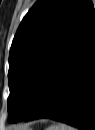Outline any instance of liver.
Here are the masks:
<instances>
[{"instance_id": "1", "label": "liver", "mask_w": 95, "mask_h": 130, "mask_svg": "<svg viewBox=\"0 0 95 130\" xmlns=\"http://www.w3.org/2000/svg\"><path fill=\"white\" fill-rule=\"evenodd\" d=\"M17 128H19L17 130H26V129H28V127H26V126H21V127H17Z\"/></svg>"}]
</instances>
